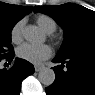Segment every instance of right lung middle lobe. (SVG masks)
Listing matches in <instances>:
<instances>
[{"instance_id":"dd1d6c3e","label":"right lung middle lobe","mask_w":95,"mask_h":95,"mask_svg":"<svg viewBox=\"0 0 95 95\" xmlns=\"http://www.w3.org/2000/svg\"><path fill=\"white\" fill-rule=\"evenodd\" d=\"M19 20L18 17L0 16V59L12 53V51L6 52V49L13 48L11 45V30Z\"/></svg>"}]
</instances>
